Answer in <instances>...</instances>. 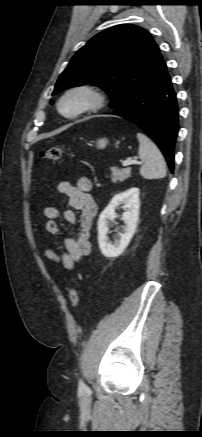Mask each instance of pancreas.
<instances>
[{
  "label": "pancreas",
  "mask_w": 202,
  "mask_h": 437,
  "mask_svg": "<svg viewBox=\"0 0 202 437\" xmlns=\"http://www.w3.org/2000/svg\"><path fill=\"white\" fill-rule=\"evenodd\" d=\"M111 181L116 183V182H123L124 180H126L127 178H129L131 176V169L130 168H125V169H118L116 167H111Z\"/></svg>",
  "instance_id": "obj_1"
}]
</instances>
